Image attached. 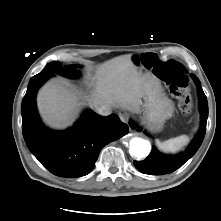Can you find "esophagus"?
I'll return each instance as SVG.
<instances>
[{"label": "esophagus", "mask_w": 221, "mask_h": 221, "mask_svg": "<svg viewBox=\"0 0 221 221\" xmlns=\"http://www.w3.org/2000/svg\"><path fill=\"white\" fill-rule=\"evenodd\" d=\"M120 119L124 122L127 123L129 120V115L127 113H120Z\"/></svg>", "instance_id": "obj_1"}]
</instances>
